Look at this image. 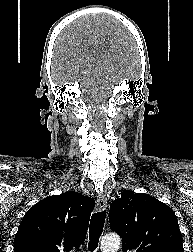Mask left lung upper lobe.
Wrapping results in <instances>:
<instances>
[{"mask_svg":"<svg viewBox=\"0 0 193 252\" xmlns=\"http://www.w3.org/2000/svg\"><path fill=\"white\" fill-rule=\"evenodd\" d=\"M109 221L123 252H184L174 212L148 194L122 192L110 206Z\"/></svg>","mask_w":193,"mask_h":252,"instance_id":"5c2ea615","label":"left lung upper lobe"}]
</instances>
